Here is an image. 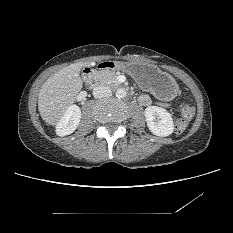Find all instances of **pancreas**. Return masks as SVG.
<instances>
[{
	"label": "pancreas",
	"mask_w": 233,
	"mask_h": 233,
	"mask_svg": "<svg viewBox=\"0 0 233 233\" xmlns=\"http://www.w3.org/2000/svg\"><path fill=\"white\" fill-rule=\"evenodd\" d=\"M95 79L99 84H118L117 75L111 70H101L95 73Z\"/></svg>",
	"instance_id": "cf45deb5"
}]
</instances>
